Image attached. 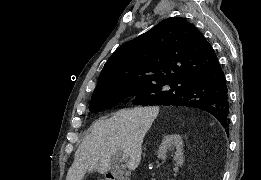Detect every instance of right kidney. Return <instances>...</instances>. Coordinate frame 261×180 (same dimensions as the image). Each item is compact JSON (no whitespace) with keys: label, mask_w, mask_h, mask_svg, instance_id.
<instances>
[{"label":"right kidney","mask_w":261,"mask_h":180,"mask_svg":"<svg viewBox=\"0 0 261 180\" xmlns=\"http://www.w3.org/2000/svg\"><path fill=\"white\" fill-rule=\"evenodd\" d=\"M175 148L176 156H174L176 160L177 166H183L184 152H183V142L181 136L178 134H169V136H164V140H162L159 150H157L158 158H166L167 150H173Z\"/></svg>","instance_id":"ca27d5eb"}]
</instances>
